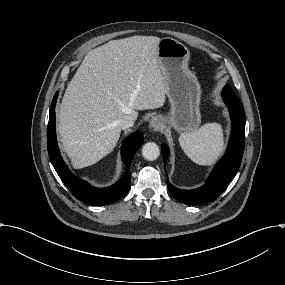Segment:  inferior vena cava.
I'll return each instance as SVG.
<instances>
[{
	"instance_id": "1",
	"label": "inferior vena cava",
	"mask_w": 285,
	"mask_h": 285,
	"mask_svg": "<svg viewBox=\"0 0 285 285\" xmlns=\"http://www.w3.org/2000/svg\"><path fill=\"white\" fill-rule=\"evenodd\" d=\"M134 124V119L129 116V115H126L124 116L122 119L119 120L118 122V126L124 130V129H127L129 127H132Z\"/></svg>"
}]
</instances>
